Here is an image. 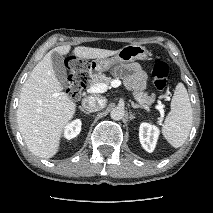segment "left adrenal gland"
<instances>
[{"mask_svg":"<svg viewBox=\"0 0 213 213\" xmlns=\"http://www.w3.org/2000/svg\"><path fill=\"white\" fill-rule=\"evenodd\" d=\"M131 106L136 109V108H142L141 105L135 104L134 102L131 101Z\"/></svg>","mask_w":213,"mask_h":213,"instance_id":"obj_1","label":"left adrenal gland"}]
</instances>
